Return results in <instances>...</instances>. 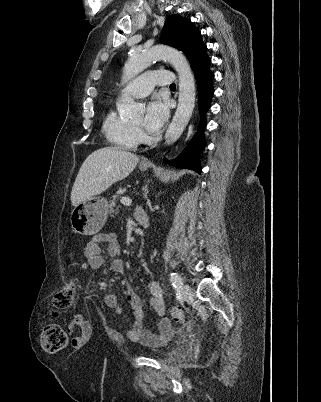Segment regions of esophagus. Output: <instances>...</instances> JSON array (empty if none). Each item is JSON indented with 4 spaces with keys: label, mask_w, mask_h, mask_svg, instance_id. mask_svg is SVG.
Returning <instances> with one entry per match:
<instances>
[{
    "label": "esophagus",
    "mask_w": 321,
    "mask_h": 402,
    "mask_svg": "<svg viewBox=\"0 0 321 402\" xmlns=\"http://www.w3.org/2000/svg\"><path fill=\"white\" fill-rule=\"evenodd\" d=\"M143 164H150V161L146 158L142 159L141 161Z\"/></svg>",
    "instance_id": "1"
}]
</instances>
